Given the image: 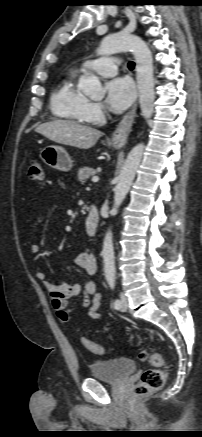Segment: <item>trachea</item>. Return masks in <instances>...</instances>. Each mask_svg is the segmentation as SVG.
Segmentation results:
<instances>
[{"mask_svg": "<svg viewBox=\"0 0 202 437\" xmlns=\"http://www.w3.org/2000/svg\"><path fill=\"white\" fill-rule=\"evenodd\" d=\"M135 67V63L133 62V61H130L129 63H128V68L129 69H133Z\"/></svg>", "mask_w": 202, "mask_h": 437, "instance_id": "1", "label": "trachea"}]
</instances>
